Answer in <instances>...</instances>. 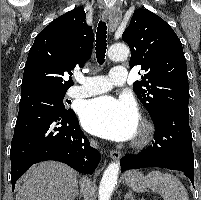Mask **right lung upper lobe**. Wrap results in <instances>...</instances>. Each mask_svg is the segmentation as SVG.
<instances>
[{
  "label": "right lung upper lobe",
  "instance_id": "1",
  "mask_svg": "<svg viewBox=\"0 0 201 200\" xmlns=\"http://www.w3.org/2000/svg\"><path fill=\"white\" fill-rule=\"evenodd\" d=\"M94 34L86 13L75 8L53 20L35 38L23 74L21 95L66 92L73 85L67 73L90 57Z\"/></svg>",
  "mask_w": 201,
  "mask_h": 200
}]
</instances>
